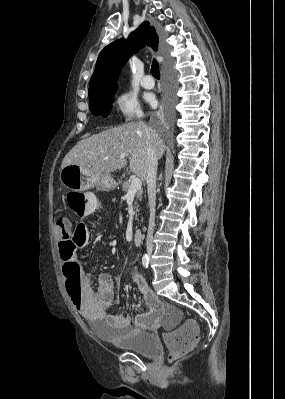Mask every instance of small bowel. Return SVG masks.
Instances as JSON below:
<instances>
[{
    "label": "small bowel",
    "instance_id": "c3829d8e",
    "mask_svg": "<svg viewBox=\"0 0 285 399\" xmlns=\"http://www.w3.org/2000/svg\"><path fill=\"white\" fill-rule=\"evenodd\" d=\"M86 197L87 203L85 204L84 214H94L101 210V203L93 193H86ZM69 232L70 230L67 226H57L59 237L67 236ZM75 265L76 269L69 276L64 274L65 288L69 299L85 319L93 323H106L115 332L122 335L141 329L153 330L161 326L166 306L150 289L145 276L140 270L135 269L131 274V278L144 298L147 311L135 315L133 324H131L129 317L114 315L109 312L110 307L114 303V291L111 280L102 275H97L95 292L80 263H75ZM70 281L79 285L78 303L73 301L67 290V282Z\"/></svg>",
    "mask_w": 285,
    "mask_h": 399
}]
</instances>
